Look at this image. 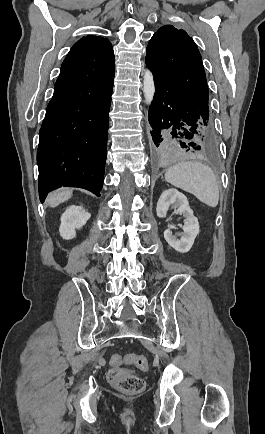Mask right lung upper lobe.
I'll list each match as a JSON object with an SVG mask.
<instances>
[{
  "label": "right lung upper lobe",
  "instance_id": "1",
  "mask_svg": "<svg viewBox=\"0 0 265 434\" xmlns=\"http://www.w3.org/2000/svg\"><path fill=\"white\" fill-rule=\"evenodd\" d=\"M73 47L93 48L99 50H112L111 43L104 37L90 35L82 38Z\"/></svg>",
  "mask_w": 265,
  "mask_h": 434
}]
</instances>
